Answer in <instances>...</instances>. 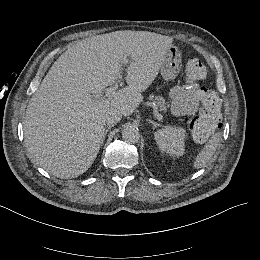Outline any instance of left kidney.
<instances>
[{
    "label": "left kidney",
    "instance_id": "obj_1",
    "mask_svg": "<svg viewBox=\"0 0 260 260\" xmlns=\"http://www.w3.org/2000/svg\"><path fill=\"white\" fill-rule=\"evenodd\" d=\"M186 130L182 127L165 126L154 133V139L162 152L180 157L185 151Z\"/></svg>",
    "mask_w": 260,
    "mask_h": 260
}]
</instances>
